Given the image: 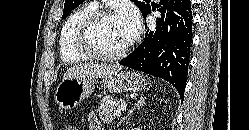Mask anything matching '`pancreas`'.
<instances>
[{"mask_svg":"<svg viewBox=\"0 0 249 130\" xmlns=\"http://www.w3.org/2000/svg\"><path fill=\"white\" fill-rule=\"evenodd\" d=\"M122 101V99L117 100L110 96H105L100 103V106L98 107V114L100 116V119L106 123L110 124L114 119L117 118V116L120 114L117 111V107L119 103Z\"/></svg>","mask_w":249,"mask_h":130,"instance_id":"pancreas-1","label":"pancreas"}]
</instances>
